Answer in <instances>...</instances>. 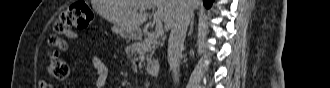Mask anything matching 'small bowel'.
<instances>
[{"instance_id": "obj_1", "label": "small bowel", "mask_w": 330, "mask_h": 88, "mask_svg": "<svg viewBox=\"0 0 330 88\" xmlns=\"http://www.w3.org/2000/svg\"><path fill=\"white\" fill-rule=\"evenodd\" d=\"M71 39L80 40L82 39V36L75 31H69L65 34ZM90 62L93 68L97 72V80L96 85L97 87H103L108 79L109 70L107 66L104 64V62L101 60V58L95 54L90 55Z\"/></svg>"}]
</instances>
